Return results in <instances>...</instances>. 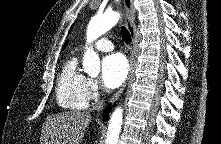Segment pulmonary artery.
<instances>
[{
  "label": "pulmonary artery",
  "instance_id": "e3ab8cb5",
  "mask_svg": "<svg viewBox=\"0 0 221 144\" xmlns=\"http://www.w3.org/2000/svg\"><path fill=\"white\" fill-rule=\"evenodd\" d=\"M95 48L99 51H111L114 48L113 43L107 38H101L94 44Z\"/></svg>",
  "mask_w": 221,
  "mask_h": 144
}]
</instances>
